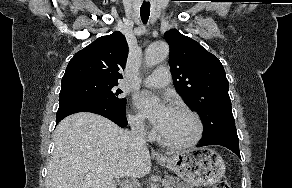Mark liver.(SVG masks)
<instances>
[{"label": "liver", "instance_id": "liver-1", "mask_svg": "<svg viewBox=\"0 0 292 188\" xmlns=\"http://www.w3.org/2000/svg\"><path fill=\"white\" fill-rule=\"evenodd\" d=\"M54 141L47 188H111L114 178H141L151 170L148 148L131 146L127 132L100 115L81 112L65 118Z\"/></svg>", "mask_w": 292, "mask_h": 188}]
</instances>
